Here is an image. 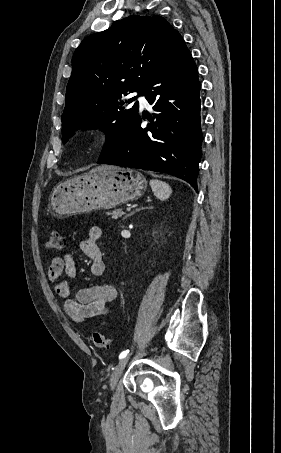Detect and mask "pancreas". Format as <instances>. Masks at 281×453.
Listing matches in <instances>:
<instances>
[{
	"label": "pancreas",
	"instance_id": "pancreas-1",
	"mask_svg": "<svg viewBox=\"0 0 281 453\" xmlns=\"http://www.w3.org/2000/svg\"><path fill=\"white\" fill-rule=\"evenodd\" d=\"M110 214H113L112 218H118V216H122L123 212L121 208H116V210H113Z\"/></svg>",
	"mask_w": 281,
	"mask_h": 453
}]
</instances>
